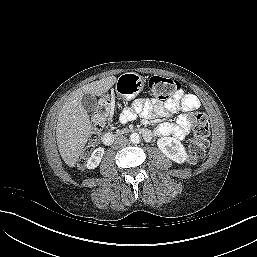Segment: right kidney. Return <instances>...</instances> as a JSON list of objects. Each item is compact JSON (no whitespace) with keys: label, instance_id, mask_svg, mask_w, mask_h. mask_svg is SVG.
I'll list each match as a JSON object with an SVG mask.
<instances>
[{"label":"right kidney","instance_id":"obj_1","mask_svg":"<svg viewBox=\"0 0 257 257\" xmlns=\"http://www.w3.org/2000/svg\"><path fill=\"white\" fill-rule=\"evenodd\" d=\"M104 154V148L103 147H99L97 149H95L90 158L87 161L86 167L88 169H95L97 166H99L101 159L103 157Z\"/></svg>","mask_w":257,"mask_h":257}]
</instances>
